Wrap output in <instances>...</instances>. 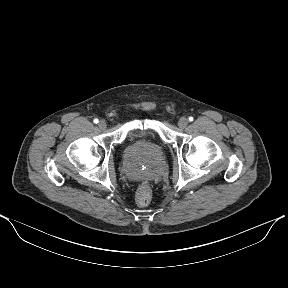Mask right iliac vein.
Returning <instances> with one entry per match:
<instances>
[{"label":"right iliac vein","mask_w":288,"mask_h":288,"mask_svg":"<svg viewBox=\"0 0 288 288\" xmlns=\"http://www.w3.org/2000/svg\"><path fill=\"white\" fill-rule=\"evenodd\" d=\"M98 126L101 130H104V129H106L107 124L104 120H101V121H99Z\"/></svg>","instance_id":"right-iliac-vein-1"}]
</instances>
